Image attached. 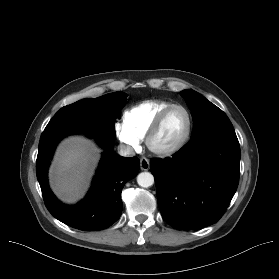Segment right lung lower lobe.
I'll use <instances>...</instances> for the list:
<instances>
[{
    "label": "right lung lower lobe",
    "mask_w": 279,
    "mask_h": 279,
    "mask_svg": "<svg viewBox=\"0 0 279 279\" xmlns=\"http://www.w3.org/2000/svg\"><path fill=\"white\" fill-rule=\"evenodd\" d=\"M84 132L105 146L108 136L83 123H69L44 130L40 137L36 161L37 179L49 212L59 221L79 230L95 231L110 227L122 213L121 191L139 170L137 157L124 158L105 151L93 185L83 201L75 206L59 202L49 188L47 171L57 143L65 136Z\"/></svg>",
    "instance_id": "right-lung-lower-lobe-1"
}]
</instances>
